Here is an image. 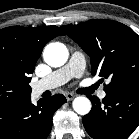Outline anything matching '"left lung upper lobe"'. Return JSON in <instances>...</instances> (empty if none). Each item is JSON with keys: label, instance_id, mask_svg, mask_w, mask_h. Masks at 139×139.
<instances>
[{"label": "left lung upper lobe", "instance_id": "obj_1", "mask_svg": "<svg viewBox=\"0 0 139 139\" xmlns=\"http://www.w3.org/2000/svg\"><path fill=\"white\" fill-rule=\"evenodd\" d=\"M62 29L90 56L92 74L109 79L106 94L139 85V36L128 26L92 19Z\"/></svg>", "mask_w": 139, "mask_h": 139}]
</instances>
